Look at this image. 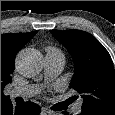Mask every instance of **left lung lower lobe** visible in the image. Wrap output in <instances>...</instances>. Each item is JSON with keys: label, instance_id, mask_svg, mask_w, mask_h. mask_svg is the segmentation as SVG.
<instances>
[{"label": "left lung lower lobe", "instance_id": "left-lung-lower-lobe-1", "mask_svg": "<svg viewBox=\"0 0 115 115\" xmlns=\"http://www.w3.org/2000/svg\"><path fill=\"white\" fill-rule=\"evenodd\" d=\"M63 114L64 115H69L66 111H63ZM70 115H72V114H70ZM78 115H90V114L82 112L81 114H78Z\"/></svg>", "mask_w": 115, "mask_h": 115}]
</instances>
